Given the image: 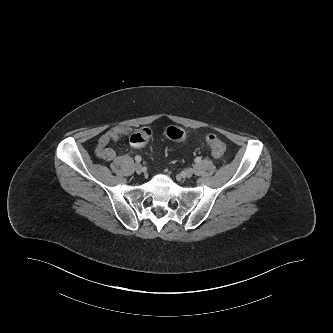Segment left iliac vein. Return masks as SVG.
<instances>
[{
  "label": "left iliac vein",
  "instance_id": "4c4485c4",
  "mask_svg": "<svg viewBox=\"0 0 333 333\" xmlns=\"http://www.w3.org/2000/svg\"><path fill=\"white\" fill-rule=\"evenodd\" d=\"M193 174H194V170H193L192 168H188V169L185 170V176H186L187 178L192 177Z\"/></svg>",
  "mask_w": 333,
  "mask_h": 333
}]
</instances>
